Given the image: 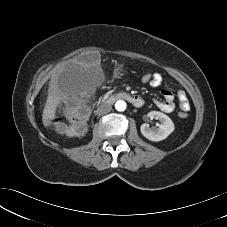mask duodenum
I'll use <instances>...</instances> for the list:
<instances>
[{
	"label": "duodenum",
	"mask_w": 227,
	"mask_h": 227,
	"mask_svg": "<svg viewBox=\"0 0 227 227\" xmlns=\"http://www.w3.org/2000/svg\"><path fill=\"white\" fill-rule=\"evenodd\" d=\"M118 99H124V100L128 101L129 103H131L133 106L138 107V108L142 107L144 105V100L142 99V97H140L138 95L130 94L127 92L116 93V94L112 95L111 97H109L108 99H106L105 103L112 104Z\"/></svg>",
	"instance_id": "obj_1"
}]
</instances>
